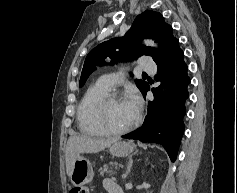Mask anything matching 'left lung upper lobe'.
I'll use <instances>...</instances> for the list:
<instances>
[{
	"instance_id": "1",
	"label": "left lung upper lobe",
	"mask_w": 237,
	"mask_h": 193,
	"mask_svg": "<svg viewBox=\"0 0 237 193\" xmlns=\"http://www.w3.org/2000/svg\"><path fill=\"white\" fill-rule=\"evenodd\" d=\"M143 38L156 40L159 49L141 45L140 40ZM176 40L172 34V27L165 23L162 15L146 10L137 16L125 37L105 41L89 52L82 69L79 86L84 85L89 74L95 69L89 64L103 65L106 57H110L112 62H115L136 59L142 55L151 56L157 63ZM135 83L141 92L147 85L143 80H135Z\"/></svg>"
}]
</instances>
